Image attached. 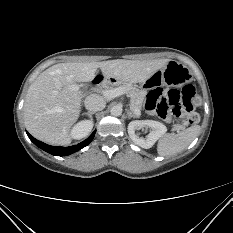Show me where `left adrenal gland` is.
Listing matches in <instances>:
<instances>
[{"label":"left adrenal gland","mask_w":233,"mask_h":233,"mask_svg":"<svg viewBox=\"0 0 233 233\" xmlns=\"http://www.w3.org/2000/svg\"><path fill=\"white\" fill-rule=\"evenodd\" d=\"M127 115H128V119H130V118H138V116L137 115H135V114H133L131 111H127Z\"/></svg>","instance_id":"obj_1"}]
</instances>
